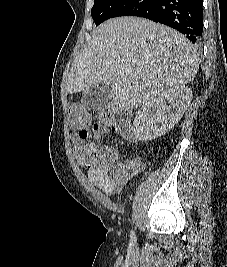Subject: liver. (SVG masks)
Masks as SVG:
<instances>
[{"instance_id": "6515ba94", "label": "liver", "mask_w": 227, "mask_h": 267, "mask_svg": "<svg viewBox=\"0 0 227 267\" xmlns=\"http://www.w3.org/2000/svg\"><path fill=\"white\" fill-rule=\"evenodd\" d=\"M197 72L198 52L184 35L147 19L122 17L93 31L72 64L66 89L73 94L109 84L114 105L130 111L170 88L190 83Z\"/></svg>"}]
</instances>
